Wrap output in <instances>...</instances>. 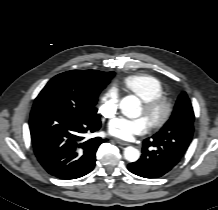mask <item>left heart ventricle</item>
<instances>
[{"instance_id": "1", "label": "left heart ventricle", "mask_w": 218, "mask_h": 210, "mask_svg": "<svg viewBox=\"0 0 218 210\" xmlns=\"http://www.w3.org/2000/svg\"><path fill=\"white\" fill-rule=\"evenodd\" d=\"M140 115L144 116L148 120V122L152 118V116H148V115L145 114V111H144L143 107L141 108Z\"/></svg>"}]
</instances>
